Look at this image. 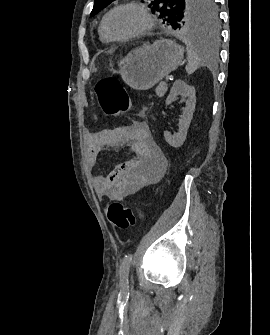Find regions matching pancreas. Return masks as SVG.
Listing matches in <instances>:
<instances>
[{
  "label": "pancreas",
  "mask_w": 270,
  "mask_h": 335,
  "mask_svg": "<svg viewBox=\"0 0 270 335\" xmlns=\"http://www.w3.org/2000/svg\"><path fill=\"white\" fill-rule=\"evenodd\" d=\"M155 92H156L157 96H159V98H162V96H164L165 92H167L166 82H160V84H159V86H157Z\"/></svg>",
  "instance_id": "pancreas-1"
}]
</instances>
